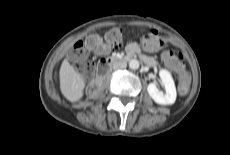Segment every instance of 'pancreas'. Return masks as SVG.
I'll return each instance as SVG.
<instances>
[{
  "mask_svg": "<svg viewBox=\"0 0 230 155\" xmlns=\"http://www.w3.org/2000/svg\"><path fill=\"white\" fill-rule=\"evenodd\" d=\"M143 61L148 65V66H155L157 64L155 58L153 57H144Z\"/></svg>",
  "mask_w": 230,
  "mask_h": 155,
  "instance_id": "cf45deb5",
  "label": "pancreas"
}]
</instances>
